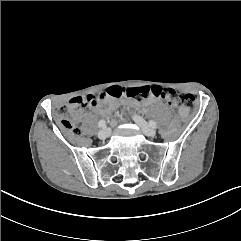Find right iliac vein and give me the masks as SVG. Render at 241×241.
<instances>
[{
    "label": "right iliac vein",
    "mask_w": 241,
    "mask_h": 241,
    "mask_svg": "<svg viewBox=\"0 0 241 241\" xmlns=\"http://www.w3.org/2000/svg\"><path fill=\"white\" fill-rule=\"evenodd\" d=\"M109 134H110L109 129H108V128H104V129H102V130L98 133V137H99L100 139H105V138H107V137L109 136Z\"/></svg>",
    "instance_id": "obj_1"
}]
</instances>
